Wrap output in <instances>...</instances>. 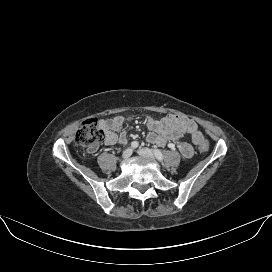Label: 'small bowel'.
Instances as JSON below:
<instances>
[{"instance_id":"obj_1","label":"small bowel","mask_w":272,"mask_h":272,"mask_svg":"<svg viewBox=\"0 0 272 272\" xmlns=\"http://www.w3.org/2000/svg\"><path fill=\"white\" fill-rule=\"evenodd\" d=\"M127 120L129 119H125L123 116H115L99 121L105 134L106 145L126 144L127 135L121 131V127ZM147 124L150 130L147 137L149 143L165 146L170 141L176 142L179 152L186 159L193 156V148L188 142L183 141L182 137L190 136L195 145H199L204 140V135L196 122L181 115L171 114L162 119L147 116ZM98 146V144H94L88 148V151L93 153L98 149Z\"/></svg>"}]
</instances>
